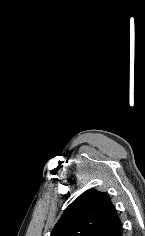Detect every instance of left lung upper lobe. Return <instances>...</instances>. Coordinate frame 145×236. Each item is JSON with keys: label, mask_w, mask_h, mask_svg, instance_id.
Returning a JSON list of instances; mask_svg holds the SVG:
<instances>
[{"label": "left lung upper lobe", "mask_w": 145, "mask_h": 236, "mask_svg": "<svg viewBox=\"0 0 145 236\" xmlns=\"http://www.w3.org/2000/svg\"><path fill=\"white\" fill-rule=\"evenodd\" d=\"M50 236H122V224L108 195L89 189L66 208Z\"/></svg>", "instance_id": "1"}]
</instances>
